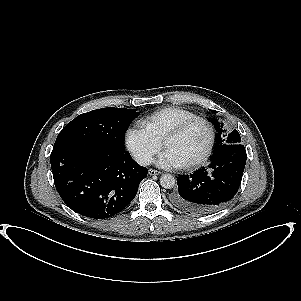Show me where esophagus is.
Wrapping results in <instances>:
<instances>
[{"label": "esophagus", "mask_w": 301, "mask_h": 301, "mask_svg": "<svg viewBox=\"0 0 301 301\" xmlns=\"http://www.w3.org/2000/svg\"><path fill=\"white\" fill-rule=\"evenodd\" d=\"M148 174L149 175H159V174H161V172L157 171V170H154V169H149Z\"/></svg>", "instance_id": "esophagus-1"}]
</instances>
